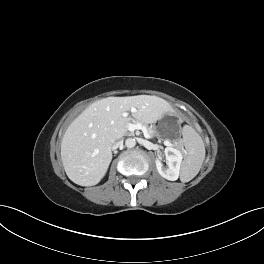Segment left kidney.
Listing matches in <instances>:
<instances>
[{
	"label": "left kidney",
	"mask_w": 264,
	"mask_h": 264,
	"mask_svg": "<svg viewBox=\"0 0 264 264\" xmlns=\"http://www.w3.org/2000/svg\"><path fill=\"white\" fill-rule=\"evenodd\" d=\"M165 157L168 167L165 168L159 159H156V167L159 174L170 181L178 179L180 174V167L182 163V153L173 147L165 148Z\"/></svg>",
	"instance_id": "left-kidney-1"
}]
</instances>
